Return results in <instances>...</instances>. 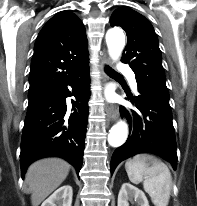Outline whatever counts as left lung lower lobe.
I'll use <instances>...</instances> for the list:
<instances>
[{
  "label": "left lung lower lobe",
  "instance_id": "left-lung-lower-lobe-1",
  "mask_svg": "<svg viewBox=\"0 0 197 206\" xmlns=\"http://www.w3.org/2000/svg\"><path fill=\"white\" fill-rule=\"evenodd\" d=\"M139 95L127 94L139 112L120 108L130 126L127 141L118 147L111 159V175L116 166L126 158L150 152L169 161L176 169L177 153L172 113L169 99L138 86Z\"/></svg>",
  "mask_w": 197,
  "mask_h": 206
}]
</instances>
